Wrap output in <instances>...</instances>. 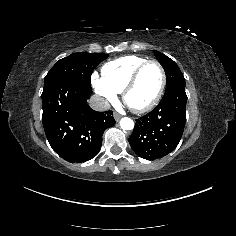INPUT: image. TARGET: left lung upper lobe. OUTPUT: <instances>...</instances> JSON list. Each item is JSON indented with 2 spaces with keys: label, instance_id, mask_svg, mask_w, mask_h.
Segmentation results:
<instances>
[{
  "label": "left lung upper lobe",
  "instance_id": "left-lung-upper-lobe-1",
  "mask_svg": "<svg viewBox=\"0 0 236 236\" xmlns=\"http://www.w3.org/2000/svg\"><path fill=\"white\" fill-rule=\"evenodd\" d=\"M154 54L166 73L167 88L165 91L176 87L185 88V78L177 64L172 59L158 51H154Z\"/></svg>",
  "mask_w": 236,
  "mask_h": 236
}]
</instances>
